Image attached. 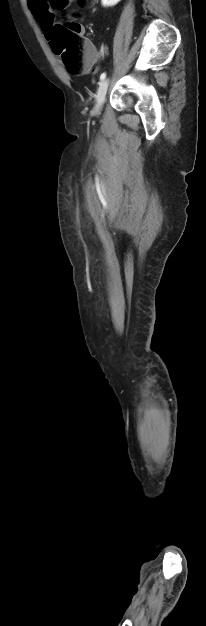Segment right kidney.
<instances>
[{
	"instance_id": "1",
	"label": "right kidney",
	"mask_w": 206,
	"mask_h": 626,
	"mask_svg": "<svg viewBox=\"0 0 206 626\" xmlns=\"http://www.w3.org/2000/svg\"><path fill=\"white\" fill-rule=\"evenodd\" d=\"M121 0H101L103 7H111L116 5Z\"/></svg>"
}]
</instances>
